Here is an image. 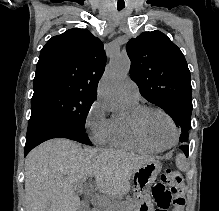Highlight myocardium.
I'll use <instances>...</instances> for the list:
<instances>
[{"mask_svg":"<svg viewBox=\"0 0 219 211\" xmlns=\"http://www.w3.org/2000/svg\"><path fill=\"white\" fill-rule=\"evenodd\" d=\"M152 112H156V113H160L162 115H164L169 122L172 125L173 131H174V135H175V139L174 142L167 146V147H159L157 145H155L151 139L148 137L146 130H145V118L149 113ZM130 121H131V125L133 127L134 132L136 133V135L138 136V138L144 142L145 144H147L148 146L152 147L153 149L157 150V151H165L168 149L173 148L174 146H176L178 140H179V133H178V129H177V125L174 121V119L171 117V115L169 113H167L165 110L158 108V107H153V106H140L138 109H136L131 117H130Z\"/></svg>","mask_w":219,"mask_h":211,"instance_id":"f54148a6","label":"myocardium"}]
</instances>
